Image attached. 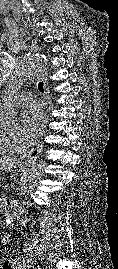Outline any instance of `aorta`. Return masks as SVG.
Listing matches in <instances>:
<instances>
[{
    "instance_id": "762f6f07",
    "label": "aorta",
    "mask_w": 118,
    "mask_h": 269,
    "mask_svg": "<svg viewBox=\"0 0 118 269\" xmlns=\"http://www.w3.org/2000/svg\"><path fill=\"white\" fill-rule=\"evenodd\" d=\"M46 62L42 54L25 56L12 77L5 97L0 100V119L9 127L16 126L20 121V112L15 107L13 98L18 93L20 86L33 76ZM45 163L38 162L26 168L21 177V188L26 190L32 183L41 178L45 170Z\"/></svg>"
}]
</instances>
